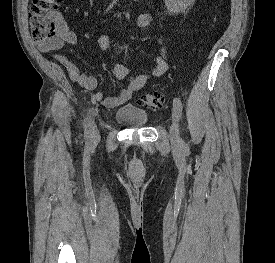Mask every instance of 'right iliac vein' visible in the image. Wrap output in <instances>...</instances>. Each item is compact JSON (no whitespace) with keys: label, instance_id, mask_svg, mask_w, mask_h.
Masks as SVG:
<instances>
[{"label":"right iliac vein","instance_id":"obj_1","mask_svg":"<svg viewBox=\"0 0 275 263\" xmlns=\"http://www.w3.org/2000/svg\"><path fill=\"white\" fill-rule=\"evenodd\" d=\"M99 138H100L99 130L97 129L95 123L93 122L92 132H91V142L96 143L98 142Z\"/></svg>","mask_w":275,"mask_h":263}]
</instances>
